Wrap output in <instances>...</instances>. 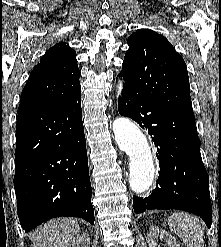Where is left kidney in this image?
<instances>
[{"label": "left kidney", "instance_id": "5707ae66", "mask_svg": "<svg viewBox=\"0 0 221 247\" xmlns=\"http://www.w3.org/2000/svg\"><path fill=\"white\" fill-rule=\"evenodd\" d=\"M159 236L161 239H165L169 247H180L176 239L158 227H152L147 236V243L149 247H158L155 242V238Z\"/></svg>", "mask_w": 221, "mask_h": 247}]
</instances>
